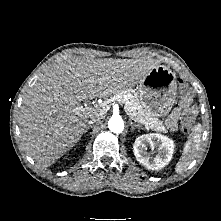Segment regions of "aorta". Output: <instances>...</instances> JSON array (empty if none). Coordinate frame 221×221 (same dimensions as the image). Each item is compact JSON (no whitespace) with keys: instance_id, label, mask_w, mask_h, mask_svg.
Instances as JSON below:
<instances>
[{"instance_id":"aorta-1","label":"aorta","mask_w":221,"mask_h":221,"mask_svg":"<svg viewBox=\"0 0 221 221\" xmlns=\"http://www.w3.org/2000/svg\"><path fill=\"white\" fill-rule=\"evenodd\" d=\"M108 127L113 133H121L124 130V121L119 115H113L108 121Z\"/></svg>"}]
</instances>
